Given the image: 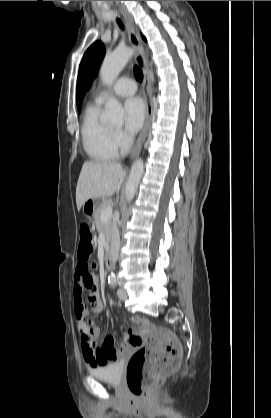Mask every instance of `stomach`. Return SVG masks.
I'll return each instance as SVG.
<instances>
[{
  "mask_svg": "<svg viewBox=\"0 0 271 418\" xmlns=\"http://www.w3.org/2000/svg\"><path fill=\"white\" fill-rule=\"evenodd\" d=\"M101 201L99 199H89L83 204V212L87 217H91L95 214Z\"/></svg>",
  "mask_w": 271,
  "mask_h": 418,
  "instance_id": "1",
  "label": "stomach"
}]
</instances>
